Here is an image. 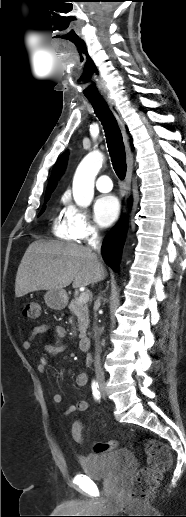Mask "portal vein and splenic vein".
I'll use <instances>...</instances> for the list:
<instances>
[{
  "mask_svg": "<svg viewBox=\"0 0 186 517\" xmlns=\"http://www.w3.org/2000/svg\"><path fill=\"white\" fill-rule=\"evenodd\" d=\"M89 301V294L87 292H82L77 299L78 303H87Z\"/></svg>",
  "mask_w": 186,
  "mask_h": 517,
  "instance_id": "18ae733b",
  "label": "portal vein and splenic vein"
}]
</instances>
